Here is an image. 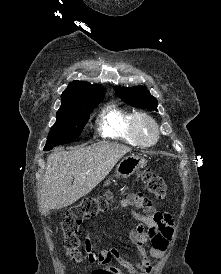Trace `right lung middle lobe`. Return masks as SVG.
Listing matches in <instances>:
<instances>
[{"label": "right lung middle lobe", "mask_w": 221, "mask_h": 274, "mask_svg": "<svg viewBox=\"0 0 221 274\" xmlns=\"http://www.w3.org/2000/svg\"><path fill=\"white\" fill-rule=\"evenodd\" d=\"M105 94L83 97L74 102L62 103L57 121L50 129L44 150L69 143L78 138L89 120V113L99 105Z\"/></svg>", "instance_id": "obj_1"}]
</instances>
